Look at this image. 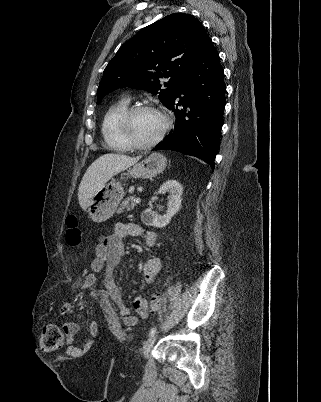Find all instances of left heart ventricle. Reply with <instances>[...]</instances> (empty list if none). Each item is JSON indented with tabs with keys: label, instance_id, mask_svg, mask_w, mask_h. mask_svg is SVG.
Wrapping results in <instances>:
<instances>
[{
	"label": "left heart ventricle",
	"instance_id": "obj_1",
	"mask_svg": "<svg viewBox=\"0 0 321 402\" xmlns=\"http://www.w3.org/2000/svg\"><path fill=\"white\" fill-rule=\"evenodd\" d=\"M163 125L164 120L159 113L142 111L132 118L131 133L139 143H147L160 133Z\"/></svg>",
	"mask_w": 321,
	"mask_h": 402
}]
</instances>
